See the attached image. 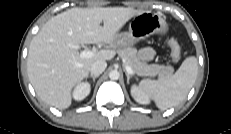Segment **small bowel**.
<instances>
[{
  "label": "small bowel",
  "instance_id": "1",
  "mask_svg": "<svg viewBox=\"0 0 231 134\" xmlns=\"http://www.w3.org/2000/svg\"><path fill=\"white\" fill-rule=\"evenodd\" d=\"M155 56L154 49L145 47L139 51V58L143 61H151Z\"/></svg>",
  "mask_w": 231,
  "mask_h": 134
}]
</instances>
